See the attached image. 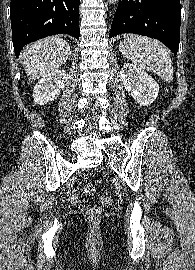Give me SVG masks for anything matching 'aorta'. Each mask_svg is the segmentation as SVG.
<instances>
[{"instance_id":"1","label":"aorta","mask_w":195,"mask_h":270,"mask_svg":"<svg viewBox=\"0 0 195 270\" xmlns=\"http://www.w3.org/2000/svg\"><path fill=\"white\" fill-rule=\"evenodd\" d=\"M109 1V3H111V4H114V3H116L118 0H108Z\"/></svg>"}]
</instances>
